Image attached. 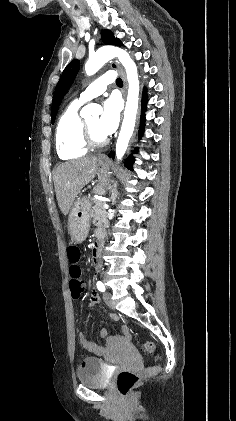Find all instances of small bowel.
Listing matches in <instances>:
<instances>
[{
    "label": "small bowel",
    "instance_id": "small-bowel-1",
    "mask_svg": "<svg viewBox=\"0 0 236 421\" xmlns=\"http://www.w3.org/2000/svg\"><path fill=\"white\" fill-rule=\"evenodd\" d=\"M90 300L92 303H96L99 300V297L96 293H92ZM102 334L105 335V331H103Z\"/></svg>",
    "mask_w": 236,
    "mask_h": 421
}]
</instances>
